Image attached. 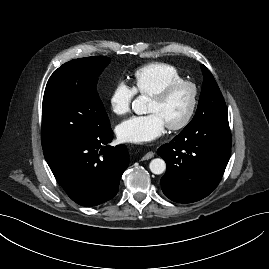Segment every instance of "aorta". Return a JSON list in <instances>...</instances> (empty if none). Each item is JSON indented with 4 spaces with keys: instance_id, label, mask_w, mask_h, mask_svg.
Returning <instances> with one entry per match:
<instances>
[{
    "instance_id": "762f6f07",
    "label": "aorta",
    "mask_w": 269,
    "mask_h": 269,
    "mask_svg": "<svg viewBox=\"0 0 269 269\" xmlns=\"http://www.w3.org/2000/svg\"><path fill=\"white\" fill-rule=\"evenodd\" d=\"M147 101H148L147 97L138 96L132 103L133 111L138 115L145 114L147 112V106H146ZM149 168L153 174L159 175L166 170V163L161 158H155L151 160Z\"/></svg>"
}]
</instances>
